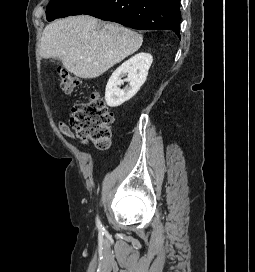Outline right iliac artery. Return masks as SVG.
Instances as JSON below:
<instances>
[{
	"mask_svg": "<svg viewBox=\"0 0 255 272\" xmlns=\"http://www.w3.org/2000/svg\"><path fill=\"white\" fill-rule=\"evenodd\" d=\"M97 227L99 229L100 232H103L104 231V227L101 223V221L99 220V218L97 217Z\"/></svg>",
	"mask_w": 255,
	"mask_h": 272,
	"instance_id": "82829eb1",
	"label": "right iliac artery"
}]
</instances>
